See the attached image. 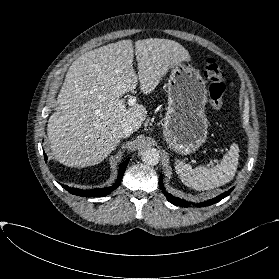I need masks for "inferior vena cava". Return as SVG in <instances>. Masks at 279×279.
<instances>
[{
	"instance_id": "1",
	"label": "inferior vena cava",
	"mask_w": 279,
	"mask_h": 279,
	"mask_svg": "<svg viewBox=\"0 0 279 279\" xmlns=\"http://www.w3.org/2000/svg\"><path fill=\"white\" fill-rule=\"evenodd\" d=\"M134 132L133 127L131 126H126L123 128V130L120 133L121 138H127L129 137L132 133Z\"/></svg>"
}]
</instances>
